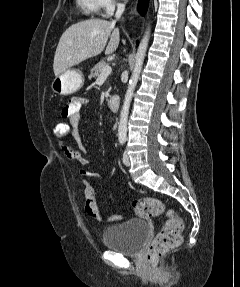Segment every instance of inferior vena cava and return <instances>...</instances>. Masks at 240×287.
<instances>
[{
	"mask_svg": "<svg viewBox=\"0 0 240 287\" xmlns=\"http://www.w3.org/2000/svg\"><path fill=\"white\" fill-rule=\"evenodd\" d=\"M125 10V5L122 3L117 4V11L115 14L116 19H119Z\"/></svg>",
	"mask_w": 240,
	"mask_h": 287,
	"instance_id": "obj_1",
	"label": "inferior vena cava"
}]
</instances>
